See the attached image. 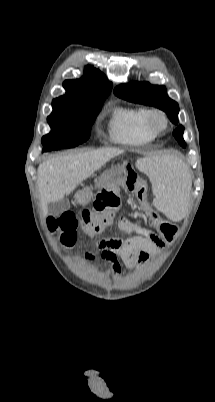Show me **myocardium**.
Segmentation results:
<instances>
[{
	"mask_svg": "<svg viewBox=\"0 0 215 402\" xmlns=\"http://www.w3.org/2000/svg\"><path fill=\"white\" fill-rule=\"evenodd\" d=\"M157 121L161 124L158 125ZM144 124L146 129L155 136L165 133L169 127V119L167 114L159 108H151L146 110Z\"/></svg>",
	"mask_w": 215,
	"mask_h": 402,
	"instance_id": "obj_1",
	"label": "myocardium"
}]
</instances>
